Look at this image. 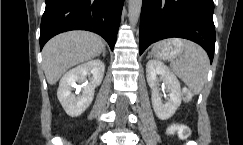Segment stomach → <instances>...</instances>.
Wrapping results in <instances>:
<instances>
[{
	"instance_id": "stomach-1",
	"label": "stomach",
	"mask_w": 243,
	"mask_h": 145,
	"mask_svg": "<svg viewBox=\"0 0 243 145\" xmlns=\"http://www.w3.org/2000/svg\"><path fill=\"white\" fill-rule=\"evenodd\" d=\"M182 53V47L175 45L173 40L161 41L152 48V55L162 60H173Z\"/></svg>"
}]
</instances>
